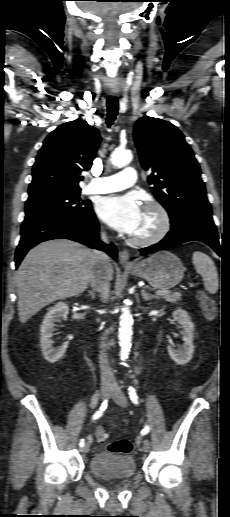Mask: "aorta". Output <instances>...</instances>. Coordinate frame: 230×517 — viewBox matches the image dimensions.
I'll return each mask as SVG.
<instances>
[{"instance_id":"762f6f07","label":"aorta","mask_w":230,"mask_h":517,"mask_svg":"<svg viewBox=\"0 0 230 517\" xmlns=\"http://www.w3.org/2000/svg\"><path fill=\"white\" fill-rule=\"evenodd\" d=\"M132 160V153L129 150H115L110 156V161L114 166L123 167ZM127 304V302H125ZM132 326L133 318L128 307V304L122 309L120 316V328H119V344L121 347L120 358L126 360L128 358L131 340H132Z\"/></svg>"}]
</instances>
